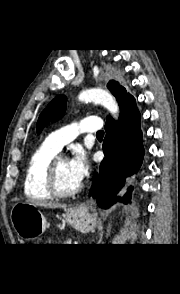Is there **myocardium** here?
<instances>
[{
    "label": "myocardium",
    "instance_id": "f54148a6",
    "mask_svg": "<svg viewBox=\"0 0 180 294\" xmlns=\"http://www.w3.org/2000/svg\"><path fill=\"white\" fill-rule=\"evenodd\" d=\"M61 160H66L63 157L55 156L49 163L45 174V188L52 197L55 198H70L76 196L81 191V185L72 191H62L57 183V166Z\"/></svg>",
    "mask_w": 180,
    "mask_h": 294
}]
</instances>
